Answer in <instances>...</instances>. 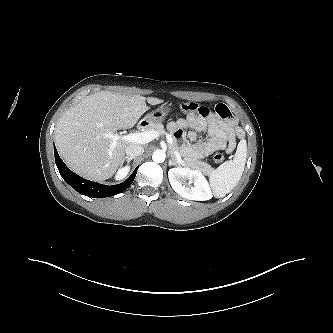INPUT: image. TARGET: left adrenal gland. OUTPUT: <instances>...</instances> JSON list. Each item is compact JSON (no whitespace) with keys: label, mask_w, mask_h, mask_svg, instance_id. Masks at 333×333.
Listing matches in <instances>:
<instances>
[{"label":"left adrenal gland","mask_w":333,"mask_h":333,"mask_svg":"<svg viewBox=\"0 0 333 333\" xmlns=\"http://www.w3.org/2000/svg\"><path fill=\"white\" fill-rule=\"evenodd\" d=\"M174 165V166H180V164L177 162L176 158L171 155V158L169 159V166Z\"/></svg>","instance_id":"a2214340"}]
</instances>
